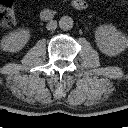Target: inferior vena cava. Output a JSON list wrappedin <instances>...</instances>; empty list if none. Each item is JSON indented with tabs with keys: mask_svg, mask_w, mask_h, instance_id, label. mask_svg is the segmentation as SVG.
<instances>
[{
	"mask_svg": "<svg viewBox=\"0 0 128 128\" xmlns=\"http://www.w3.org/2000/svg\"><path fill=\"white\" fill-rule=\"evenodd\" d=\"M47 30H55L57 28V22L54 20H51L46 25Z\"/></svg>",
	"mask_w": 128,
	"mask_h": 128,
	"instance_id": "1",
	"label": "inferior vena cava"
}]
</instances>
